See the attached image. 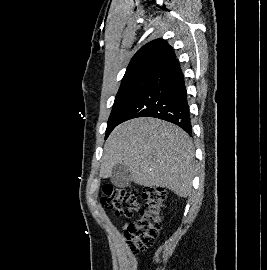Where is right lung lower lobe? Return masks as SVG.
<instances>
[{
  "mask_svg": "<svg viewBox=\"0 0 267 270\" xmlns=\"http://www.w3.org/2000/svg\"><path fill=\"white\" fill-rule=\"evenodd\" d=\"M137 117L169 121L189 135L192 134L187 92L177 59L155 75L149 87L128 111L124 121Z\"/></svg>",
  "mask_w": 267,
  "mask_h": 270,
  "instance_id": "right-lung-lower-lobe-1",
  "label": "right lung lower lobe"
}]
</instances>
